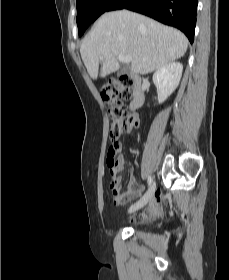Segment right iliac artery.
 <instances>
[{
    "label": "right iliac artery",
    "instance_id": "obj_1",
    "mask_svg": "<svg viewBox=\"0 0 229 280\" xmlns=\"http://www.w3.org/2000/svg\"><path fill=\"white\" fill-rule=\"evenodd\" d=\"M148 186H150L151 185V183H152V178H151V176H148Z\"/></svg>",
    "mask_w": 229,
    "mask_h": 280
}]
</instances>
